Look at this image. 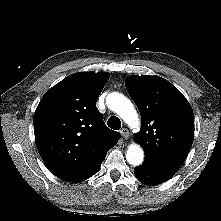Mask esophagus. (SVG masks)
Wrapping results in <instances>:
<instances>
[{
  "instance_id": "1",
  "label": "esophagus",
  "mask_w": 221,
  "mask_h": 221,
  "mask_svg": "<svg viewBox=\"0 0 221 221\" xmlns=\"http://www.w3.org/2000/svg\"><path fill=\"white\" fill-rule=\"evenodd\" d=\"M120 134L124 139H128L129 138V130L127 128H122L120 130Z\"/></svg>"
}]
</instances>
